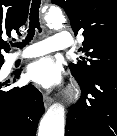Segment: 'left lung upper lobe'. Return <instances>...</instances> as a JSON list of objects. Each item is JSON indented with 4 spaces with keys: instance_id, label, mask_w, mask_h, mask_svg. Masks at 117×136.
<instances>
[{
    "instance_id": "5c2ea615",
    "label": "left lung upper lobe",
    "mask_w": 117,
    "mask_h": 136,
    "mask_svg": "<svg viewBox=\"0 0 117 136\" xmlns=\"http://www.w3.org/2000/svg\"><path fill=\"white\" fill-rule=\"evenodd\" d=\"M62 7L75 35L84 36L80 48L90 59L80 57L69 67L78 82L86 83L94 75L117 70V2L116 0H52Z\"/></svg>"
}]
</instances>
